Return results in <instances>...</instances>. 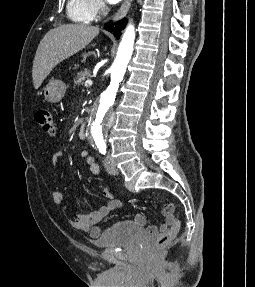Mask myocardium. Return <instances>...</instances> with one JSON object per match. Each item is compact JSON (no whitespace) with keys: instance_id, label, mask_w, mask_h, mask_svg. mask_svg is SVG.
Wrapping results in <instances>:
<instances>
[{"instance_id":"f54148a6","label":"myocardium","mask_w":255,"mask_h":287,"mask_svg":"<svg viewBox=\"0 0 255 287\" xmlns=\"http://www.w3.org/2000/svg\"><path fill=\"white\" fill-rule=\"evenodd\" d=\"M95 39H110V38H95ZM96 48H104V47H96ZM123 48V47H120Z\"/></svg>"}]
</instances>
